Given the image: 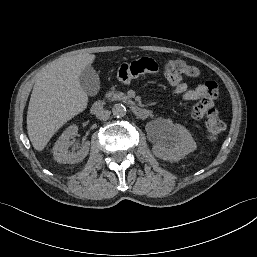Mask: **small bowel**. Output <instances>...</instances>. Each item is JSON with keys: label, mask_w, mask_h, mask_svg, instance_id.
I'll list each match as a JSON object with an SVG mask.
<instances>
[{"label": "small bowel", "mask_w": 257, "mask_h": 257, "mask_svg": "<svg viewBox=\"0 0 257 257\" xmlns=\"http://www.w3.org/2000/svg\"><path fill=\"white\" fill-rule=\"evenodd\" d=\"M161 75L169 88L173 89V95L186 101H197L191 110V117L195 120L202 119L213 107L218 90L213 81H206L195 88H188L183 74L170 67L166 63H157L149 58L128 60L119 65L115 79L123 87H129L135 83H143Z\"/></svg>", "instance_id": "small-bowel-1"}]
</instances>
